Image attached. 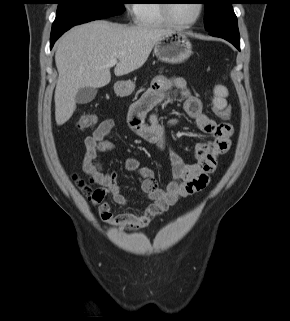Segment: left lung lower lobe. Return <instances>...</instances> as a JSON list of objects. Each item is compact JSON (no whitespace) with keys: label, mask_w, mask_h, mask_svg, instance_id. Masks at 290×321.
<instances>
[{"label":"left lung lower lobe","mask_w":290,"mask_h":321,"mask_svg":"<svg viewBox=\"0 0 290 321\" xmlns=\"http://www.w3.org/2000/svg\"><path fill=\"white\" fill-rule=\"evenodd\" d=\"M210 35L223 38L232 43L238 50H240V36L237 23H233L228 27L217 29L209 32Z\"/></svg>","instance_id":"0a47b994"}]
</instances>
